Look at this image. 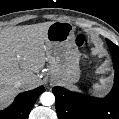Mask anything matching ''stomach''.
<instances>
[{
    "instance_id": "stomach-1",
    "label": "stomach",
    "mask_w": 119,
    "mask_h": 119,
    "mask_svg": "<svg viewBox=\"0 0 119 119\" xmlns=\"http://www.w3.org/2000/svg\"><path fill=\"white\" fill-rule=\"evenodd\" d=\"M70 22L55 21L46 34V56L53 79L72 84L80 77V53Z\"/></svg>"
}]
</instances>
